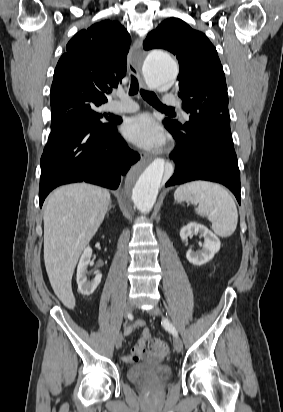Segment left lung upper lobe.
Masks as SVG:
<instances>
[{
    "label": "left lung upper lobe",
    "instance_id": "left-lung-upper-lobe-1",
    "mask_svg": "<svg viewBox=\"0 0 283 412\" xmlns=\"http://www.w3.org/2000/svg\"><path fill=\"white\" fill-rule=\"evenodd\" d=\"M143 48L165 49L179 60L178 96L189 121L182 125L165 119V123L199 131L212 146L235 153L225 75L217 51L207 37L182 20L170 18L147 35Z\"/></svg>",
    "mask_w": 283,
    "mask_h": 412
}]
</instances>
